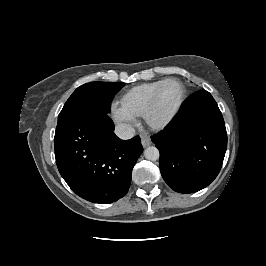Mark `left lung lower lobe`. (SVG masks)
Returning a JSON list of instances; mask_svg holds the SVG:
<instances>
[{"label": "left lung lower lobe", "instance_id": "1", "mask_svg": "<svg viewBox=\"0 0 266 266\" xmlns=\"http://www.w3.org/2000/svg\"><path fill=\"white\" fill-rule=\"evenodd\" d=\"M152 141L170 188L193 193L208 186L220 172L227 148L224 119L212 95L203 90L186 99L168 128Z\"/></svg>", "mask_w": 266, "mask_h": 266}]
</instances>
